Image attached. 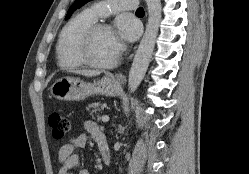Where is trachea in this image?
I'll use <instances>...</instances> for the list:
<instances>
[{
    "instance_id": "trachea-1",
    "label": "trachea",
    "mask_w": 249,
    "mask_h": 174,
    "mask_svg": "<svg viewBox=\"0 0 249 174\" xmlns=\"http://www.w3.org/2000/svg\"><path fill=\"white\" fill-rule=\"evenodd\" d=\"M136 13L139 14V13H143L144 14V9L142 7H139L137 10H136Z\"/></svg>"
}]
</instances>
